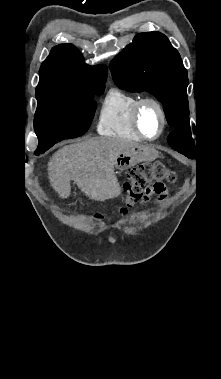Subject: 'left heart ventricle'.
I'll return each mask as SVG.
<instances>
[{
	"mask_svg": "<svg viewBox=\"0 0 221 379\" xmlns=\"http://www.w3.org/2000/svg\"><path fill=\"white\" fill-rule=\"evenodd\" d=\"M140 125L145 134L154 136L160 128V116L157 109L148 105L143 108L140 116Z\"/></svg>",
	"mask_w": 221,
	"mask_h": 379,
	"instance_id": "b2bd125f",
	"label": "left heart ventricle"
}]
</instances>
